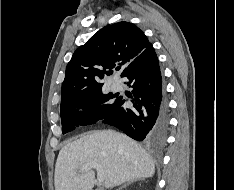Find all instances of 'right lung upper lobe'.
I'll use <instances>...</instances> for the list:
<instances>
[{
    "instance_id": "right-lung-upper-lobe-1",
    "label": "right lung upper lobe",
    "mask_w": 234,
    "mask_h": 190,
    "mask_svg": "<svg viewBox=\"0 0 234 190\" xmlns=\"http://www.w3.org/2000/svg\"><path fill=\"white\" fill-rule=\"evenodd\" d=\"M151 46L143 31L121 21L100 29L73 54L66 67L61 104L84 93L102 89L100 79L110 70L128 65Z\"/></svg>"
}]
</instances>
